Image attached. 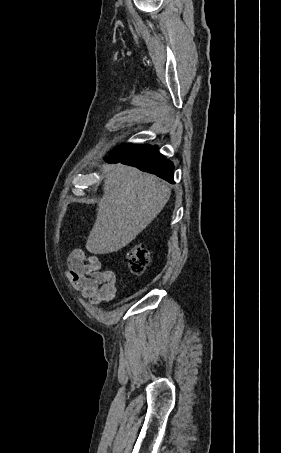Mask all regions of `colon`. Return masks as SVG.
Listing matches in <instances>:
<instances>
[{
	"label": "colon",
	"instance_id": "colon-1",
	"mask_svg": "<svg viewBox=\"0 0 281 453\" xmlns=\"http://www.w3.org/2000/svg\"><path fill=\"white\" fill-rule=\"evenodd\" d=\"M129 267L134 273H143L151 262L150 251L145 243L137 242L129 246L127 251Z\"/></svg>",
	"mask_w": 281,
	"mask_h": 453
}]
</instances>
